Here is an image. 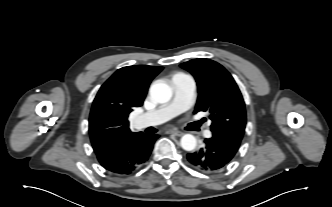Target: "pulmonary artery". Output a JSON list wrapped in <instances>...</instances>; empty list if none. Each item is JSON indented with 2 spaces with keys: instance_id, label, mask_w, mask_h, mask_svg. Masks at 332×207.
<instances>
[{
  "instance_id": "obj_1",
  "label": "pulmonary artery",
  "mask_w": 332,
  "mask_h": 207,
  "mask_svg": "<svg viewBox=\"0 0 332 207\" xmlns=\"http://www.w3.org/2000/svg\"><path fill=\"white\" fill-rule=\"evenodd\" d=\"M172 87L174 90L172 101L158 109L138 116L136 125L139 128L162 124L190 107L194 101L196 89L193 78L188 75L176 76L172 79ZM204 136L209 138L211 131L209 129L205 130Z\"/></svg>"
}]
</instances>
